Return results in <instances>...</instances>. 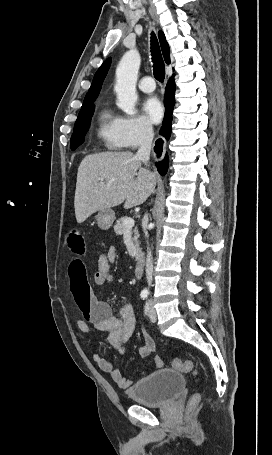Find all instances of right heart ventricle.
Instances as JSON below:
<instances>
[{"mask_svg": "<svg viewBox=\"0 0 272 455\" xmlns=\"http://www.w3.org/2000/svg\"><path fill=\"white\" fill-rule=\"evenodd\" d=\"M97 135L109 150H118L123 147L118 133V117L103 107L98 114Z\"/></svg>", "mask_w": 272, "mask_h": 455, "instance_id": "1", "label": "right heart ventricle"}]
</instances>
